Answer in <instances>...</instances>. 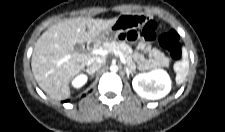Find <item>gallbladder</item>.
Wrapping results in <instances>:
<instances>
[{
	"mask_svg": "<svg viewBox=\"0 0 225 132\" xmlns=\"http://www.w3.org/2000/svg\"><path fill=\"white\" fill-rule=\"evenodd\" d=\"M76 48H77L78 50H81V49H82V46H81V45H77Z\"/></svg>",
	"mask_w": 225,
	"mask_h": 132,
	"instance_id": "obj_1",
	"label": "gallbladder"
}]
</instances>
